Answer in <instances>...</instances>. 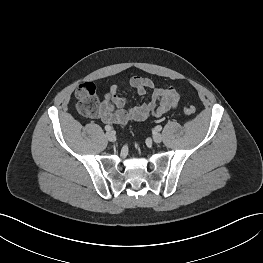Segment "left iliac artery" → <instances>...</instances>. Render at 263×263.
<instances>
[{
    "label": "left iliac artery",
    "mask_w": 263,
    "mask_h": 263,
    "mask_svg": "<svg viewBox=\"0 0 263 263\" xmlns=\"http://www.w3.org/2000/svg\"><path fill=\"white\" fill-rule=\"evenodd\" d=\"M155 129H156L157 131H161V130H162V126L157 125V126L155 127Z\"/></svg>",
    "instance_id": "1"
}]
</instances>
